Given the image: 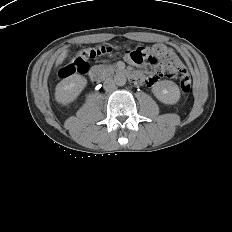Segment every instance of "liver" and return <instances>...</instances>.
<instances>
[{
	"label": "liver",
	"mask_w": 232,
	"mask_h": 232,
	"mask_svg": "<svg viewBox=\"0 0 232 232\" xmlns=\"http://www.w3.org/2000/svg\"><path fill=\"white\" fill-rule=\"evenodd\" d=\"M67 54H68V50L65 49L63 50L60 55L57 57V60H56V63H55V66H59L60 64L63 63V61L65 60V58L67 57Z\"/></svg>",
	"instance_id": "1"
}]
</instances>
